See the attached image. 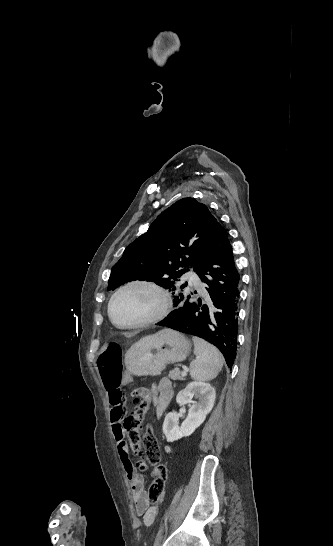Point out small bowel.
Returning a JSON list of instances; mask_svg holds the SVG:
<instances>
[{
    "label": "small bowel",
    "instance_id": "small-bowel-1",
    "mask_svg": "<svg viewBox=\"0 0 333 546\" xmlns=\"http://www.w3.org/2000/svg\"><path fill=\"white\" fill-rule=\"evenodd\" d=\"M122 376L124 381H122L121 384L125 387L128 384L127 381L132 379L131 372L129 370H123ZM142 396L154 406L156 415L161 417L170 404L173 396L172 383L169 379H161L157 384H154L151 389L143 390ZM109 401L111 404L110 420L112 425V433L117 443L120 462L130 484L135 509L138 514L142 515L143 524L145 526H150L155 521L158 510L155 506L149 507L147 492L145 490L144 476L137 472L129 455L128 446L124 439L125 430L122 425L125 415V407L121 400L119 402H112L111 393H109ZM166 450L167 452H171L172 447L167 445ZM151 477L154 479V471L151 473Z\"/></svg>",
    "mask_w": 333,
    "mask_h": 546
}]
</instances>
